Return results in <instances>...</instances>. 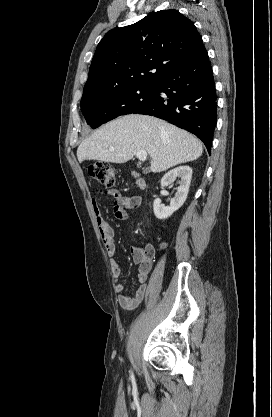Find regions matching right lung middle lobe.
Returning <instances> with one entry per match:
<instances>
[{
	"instance_id": "dd1d6c3e",
	"label": "right lung middle lobe",
	"mask_w": 272,
	"mask_h": 417,
	"mask_svg": "<svg viewBox=\"0 0 272 417\" xmlns=\"http://www.w3.org/2000/svg\"><path fill=\"white\" fill-rule=\"evenodd\" d=\"M155 92V83L140 84L104 95H83L80 107L92 128L118 116L131 114L147 103Z\"/></svg>"
}]
</instances>
